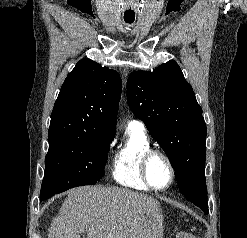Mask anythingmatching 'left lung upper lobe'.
<instances>
[{
	"label": "left lung upper lobe",
	"mask_w": 247,
	"mask_h": 238,
	"mask_svg": "<svg viewBox=\"0 0 247 238\" xmlns=\"http://www.w3.org/2000/svg\"><path fill=\"white\" fill-rule=\"evenodd\" d=\"M128 104L160 144L186 199L206 214V124L191 85L174 60L153 72L137 71L127 81Z\"/></svg>",
	"instance_id": "5c2ea615"
}]
</instances>
